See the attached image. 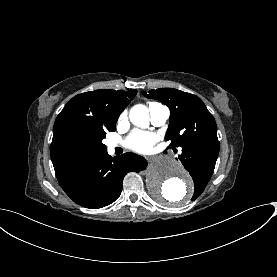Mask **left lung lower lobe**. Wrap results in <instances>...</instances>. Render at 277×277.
Wrapping results in <instances>:
<instances>
[{"instance_id": "0a47b994", "label": "left lung lower lobe", "mask_w": 277, "mask_h": 277, "mask_svg": "<svg viewBox=\"0 0 277 277\" xmlns=\"http://www.w3.org/2000/svg\"><path fill=\"white\" fill-rule=\"evenodd\" d=\"M218 153L219 141L215 139H204L182 146V154L178 157L192 176L194 188L199 180L212 176Z\"/></svg>"}]
</instances>
